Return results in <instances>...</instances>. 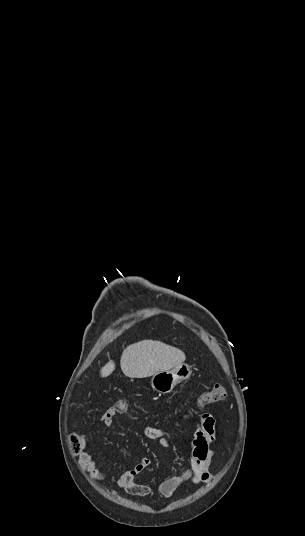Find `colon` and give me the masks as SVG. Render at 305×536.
<instances>
[{
	"label": "colon",
	"mask_w": 305,
	"mask_h": 536,
	"mask_svg": "<svg viewBox=\"0 0 305 536\" xmlns=\"http://www.w3.org/2000/svg\"><path fill=\"white\" fill-rule=\"evenodd\" d=\"M226 396V391L221 383H216L212 389L204 391L199 397V405L206 407L222 401ZM116 416L126 414L130 408L128 400L121 399L112 404ZM103 422V421H102ZM104 423V422H103ZM66 442L71 453L76 454L80 450L82 439L80 435H68Z\"/></svg>",
	"instance_id": "1"
}]
</instances>
